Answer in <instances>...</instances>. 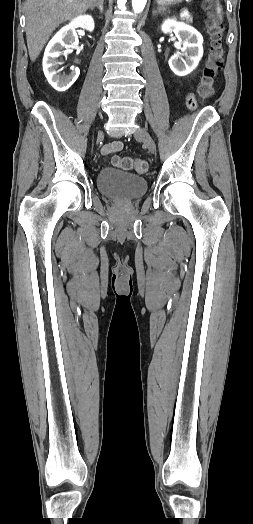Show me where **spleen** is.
Returning a JSON list of instances; mask_svg holds the SVG:
<instances>
[{"label":"spleen","mask_w":253,"mask_h":524,"mask_svg":"<svg viewBox=\"0 0 253 524\" xmlns=\"http://www.w3.org/2000/svg\"><path fill=\"white\" fill-rule=\"evenodd\" d=\"M220 12H221V8H218V13H220Z\"/></svg>","instance_id":"spleen-1"}]
</instances>
